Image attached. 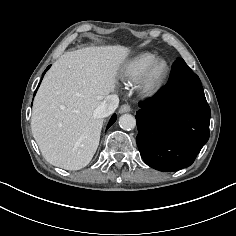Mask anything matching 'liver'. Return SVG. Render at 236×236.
<instances>
[{"instance_id": "liver-1", "label": "liver", "mask_w": 236, "mask_h": 236, "mask_svg": "<svg viewBox=\"0 0 236 236\" xmlns=\"http://www.w3.org/2000/svg\"><path fill=\"white\" fill-rule=\"evenodd\" d=\"M128 53L123 46L88 47L63 54L47 72L34 99L31 129L50 164L79 170L92 160L104 121L97 109L114 90Z\"/></svg>"}]
</instances>
